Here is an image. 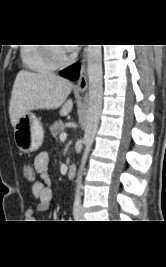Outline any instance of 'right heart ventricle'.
I'll return each instance as SVG.
<instances>
[{
	"mask_svg": "<svg viewBox=\"0 0 166 267\" xmlns=\"http://www.w3.org/2000/svg\"><path fill=\"white\" fill-rule=\"evenodd\" d=\"M40 44H28L21 47L20 57L23 65L32 71L39 73L51 72L55 66L46 58L43 46Z\"/></svg>",
	"mask_w": 166,
	"mask_h": 267,
	"instance_id": "right-heart-ventricle-1",
	"label": "right heart ventricle"
}]
</instances>
